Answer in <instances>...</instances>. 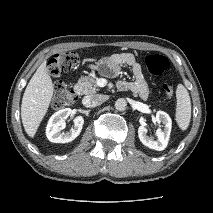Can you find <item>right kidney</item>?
Segmentation results:
<instances>
[{"mask_svg":"<svg viewBox=\"0 0 213 213\" xmlns=\"http://www.w3.org/2000/svg\"><path fill=\"white\" fill-rule=\"evenodd\" d=\"M71 112L70 108H65L50 117L46 128V136L49 141L54 143H68L80 134L84 124L82 116H77L74 119V127L70 132H61L66 127L65 120L71 115Z\"/></svg>","mask_w":213,"mask_h":213,"instance_id":"ca27d5eb","label":"right kidney"}]
</instances>
